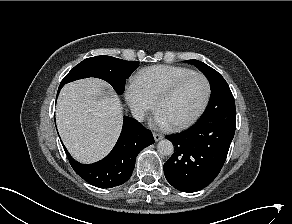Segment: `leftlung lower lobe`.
<instances>
[{"instance_id": "obj_1", "label": "left lung lower lobe", "mask_w": 292, "mask_h": 224, "mask_svg": "<svg viewBox=\"0 0 292 224\" xmlns=\"http://www.w3.org/2000/svg\"><path fill=\"white\" fill-rule=\"evenodd\" d=\"M236 111L197 122L188 130L166 136L175 152L164 164L167 181L182 192L209 185L222 169L235 134Z\"/></svg>"}]
</instances>
